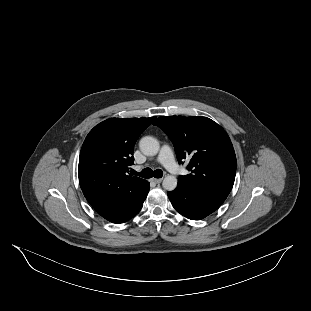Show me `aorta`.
<instances>
[{"label": "aorta", "mask_w": 311, "mask_h": 311, "mask_svg": "<svg viewBox=\"0 0 311 311\" xmlns=\"http://www.w3.org/2000/svg\"><path fill=\"white\" fill-rule=\"evenodd\" d=\"M139 147L144 155L155 156L159 151L160 145L156 138L152 136H144L139 142ZM162 186L168 191L174 190L177 186V178L172 175L166 176L162 182Z\"/></svg>", "instance_id": "1"}]
</instances>
